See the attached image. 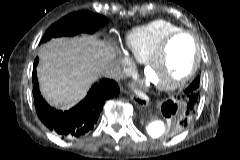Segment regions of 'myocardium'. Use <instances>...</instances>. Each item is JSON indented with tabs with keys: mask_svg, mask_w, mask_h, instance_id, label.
<instances>
[{
	"mask_svg": "<svg viewBox=\"0 0 240 160\" xmlns=\"http://www.w3.org/2000/svg\"><path fill=\"white\" fill-rule=\"evenodd\" d=\"M179 36H188L189 38H191L193 45H194V51H195L194 52V60H193L191 67L189 68V70L181 77H178L176 79H173V80L165 82V83H160V84L155 83L156 88L161 91H170V90H173V89H176V88L182 86L183 84L188 82L195 75V73L197 72L199 65H200L201 46L198 41V38L189 31L179 30V31L173 32V33L169 34L168 36H166L161 41L159 46L156 48L154 53L144 62V68H143L144 74L147 76L148 71L162 59L169 43Z\"/></svg>",
	"mask_w": 240,
	"mask_h": 160,
	"instance_id": "1",
	"label": "myocardium"
}]
</instances>
